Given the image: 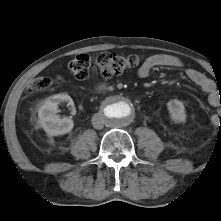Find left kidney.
<instances>
[{"instance_id": "1", "label": "left kidney", "mask_w": 221, "mask_h": 221, "mask_svg": "<svg viewBox=\"0 0 221 221\" xmlns=\"http://www.w3.org/2000/svg\"><path fill=\"white\" fill-rule=\"evenodd\" d=\"M170 118L175 123H183L186 120L184 104L179 100H170L167 103Z\"/></svg>"}]
</instances>
